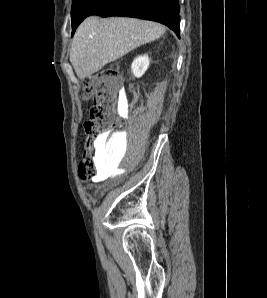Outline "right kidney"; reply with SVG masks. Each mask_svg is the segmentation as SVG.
<instances>
[{
  "instance_id": "1",
  "label": "right kidney",
  "mask_w": 267,
  "mask_h": 298,
  "mask_svg": "<svg viewBox=\"0 0 267 298\" xmlns=\"http://www.w3.org/2000/svg\"><path fill=\"white\" fill-rule=\"evenodd\" d=\"M149 67L148 55L138 56L131 65L132 72L135 77H141Z\"/></svg>"
}]
</instances>
